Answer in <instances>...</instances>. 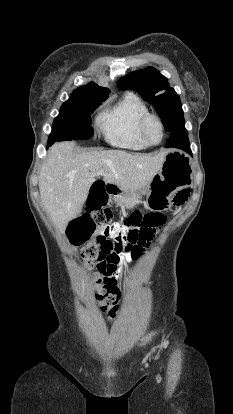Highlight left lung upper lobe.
<instances>
[{
	"instance_id": "5c2ea615",
	"label": "left lung upper lobe",
	"mask_w": 233,
	"mask_h": 414,
	"mask_svg": "<svg viewBox=\"0 0 233 414\" xmlns=\"http://www.w3.org/2000/svg\"><path fill=\"white\" fill-rule=\"evenodd\" d=\"M118 87L121 90H135L145 101H150L161 117L166 131L172 130L184 119L178 94L170 88L167 78L153 67H147L122 77L118 82Z\"/></svg>"
}]
</instances>
